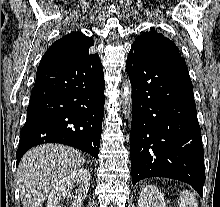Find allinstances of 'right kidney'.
Wrapping results in <instances>:
<instances>
[{"mask_svg": "<svg viewBox=\"0 0 220 207\" xmlns=\"http://www.w3.org/2000/svg\"><path fill=\"white\" fill-rule=\"evenodd\" d=\"M91 174L89 170L77 169L65 176L51 190L48 196L47 207H63L62 200L70 196V190L74 185L78 186L75 191L72 207H81L86 198L90 186Z\"/></svg>", "mask_w": 220, "mask_h": 207, "instance_id": "right-kidney-1", "label": "right kidney"}]
</instances>
